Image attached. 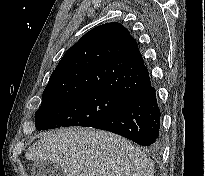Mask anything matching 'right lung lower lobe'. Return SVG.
Here are the masks:
<instances>
[{
	"instance_id": "obj_1",
	"label": "right lung lower lobe",
	"mask_w": 205,
	"mask_h": 176,
	"mask_svg": "<svg viewBox=\"0 0 205 176\" xmlns=\"http://www.w3.org/2000/svg\"><path fill=\"white\" fill-rule=\"evenodd\" d=\"M93 128L107 130L156 151L161 147L160 110L154 87L136 90Z\"/></svg>"
}]
</instances>
